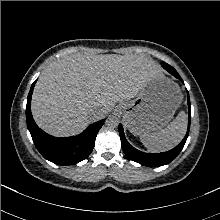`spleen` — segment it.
I'll list each match as a JSON object with an SVG mask.
<instances>
[{"label":"spleen","instance_id":"1","mask_svg":"<svg viewBox=\"0 0 220 220\" xmlns=\"http://www.w3.org/2000/svg\"><path fill=\"white\" fill-rule=\"evenodd\" d=\"M187 129V115L181 111L166 128L140 136L143 145L150 151L160 152L175 147L184 137Z\"/></svg>","mask_w":220,"mask_h":220}]
</instances>
